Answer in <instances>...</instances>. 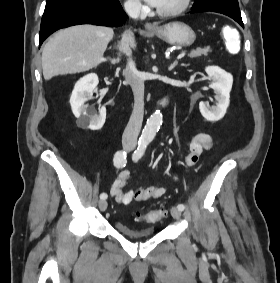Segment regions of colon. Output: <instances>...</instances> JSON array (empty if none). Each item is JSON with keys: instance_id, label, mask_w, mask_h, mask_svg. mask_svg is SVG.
I'll use <instances>...</instances> for the list:
<instances>
[{"instance_id": "colon-1", "label": "colon", "mask_w": 280, "mask_h": 283, "mask_svg": "<svg viewBox=\"0 0 280 283\" xmlns=\"http://www.w3.org/2000/svg\"><path fill=\"white\" fill-rule=\"evenodd\" d=\"M238 29V25H224L222 30L224 37L221 38V41L227 42L226 51H229L230 55H239L241 51L240 37L243 36V33ZM164 213V209H157L144 214L138 213L137 217L145 222H155L161 219Z\"/></svg>"}]
</instances>
